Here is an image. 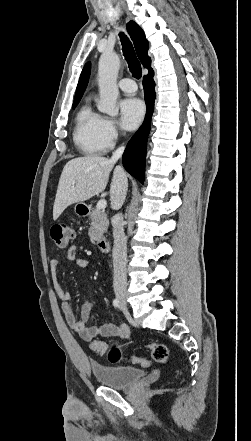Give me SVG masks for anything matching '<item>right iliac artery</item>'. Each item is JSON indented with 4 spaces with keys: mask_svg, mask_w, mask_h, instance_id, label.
Masks as SVG:
<instances>
[{
    "mask_svg": "<svg viewBox=\"0 0 251 441\" xmlns=\"http://www.w3.org/2000/svg\"><path fill=\"white\" fill-rule=\"evenodd\" d=\"M113 306H114L115 308H118V307H119V300H118L117 298H115V299L113 300Z\"/></svg>",
    "mask_w": 251,
    "mask_h": 441,
    "instance_id": "obj_1",
    "label": "right iliac artery"
}]
</instances>
